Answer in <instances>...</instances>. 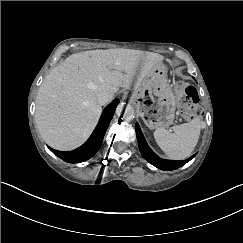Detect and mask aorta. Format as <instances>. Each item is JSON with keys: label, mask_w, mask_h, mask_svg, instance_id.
I'll return each instance as SVG.
<instances>
[{"label": "aorta", "mask_w": 243, "mask_h": 243, "mask_svg": "<svg viewBox=\"0 0 243 243\" xmlns=\"http://www.w3.org/2000/svg\"><path fill=\"white\" fill-rule=\"evenodd\" d=\"M116 112L119 118L126 119V120H132L134 117V109L128 105L126 102H119L116 105Z\"/></svg>", "instance_id": "1"}]
</instances>
